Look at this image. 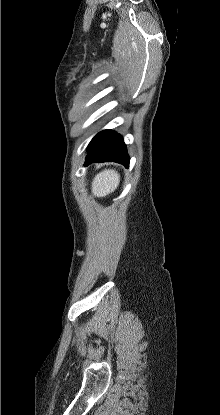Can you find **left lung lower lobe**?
Returning <instances> with one entry per match:
<instances>
[{
    "mask_svg": "<svg viewBox=\"0 0 220 415\" xmlns=\"http://www.w3.org/2000/svg\"><path fill=\"white\" fill-rule=\"evenodd\" d=\"M84 166L93 162H117L129 167V156L123 138L111 130L98 133L87 147Z\"/></svg>",
    "mask_w": 220,
    "mask_h": 415,
    "instance_id": "1",
    "label": "left lung lower lobe"
}]
</instances>
